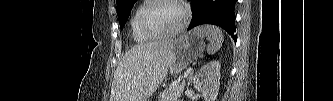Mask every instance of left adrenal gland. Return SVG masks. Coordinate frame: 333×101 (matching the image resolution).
<instances>
[{
	"instance_id": "left-adrenal-gland-1",
	"label": "left adrenal gland",
	"mask_w": 333,
	"mask_h": 101,
	"mask_svg": "<svg viewBox=\"0 0 333 101\" xmlns=\"http://www.w3.org/2000/svg\"><path fill=\"white\" fill-rule=\"evenodd\" d=\"M192 76H193V71L190 73V75H189V78H188V80H189V82H188V84L190 83V81L192 80Z\"/></svg>"
}]
</instances>
